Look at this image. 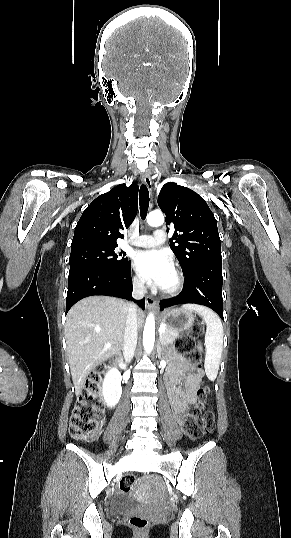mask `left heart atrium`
<instances>
[{"label":"left heart atrium","mask_w":291,"mask_h":538,"mask_svg":"<svg viewBox=\"0 0 291 538\" xmlns=\"http://www.w3.org/2000/svg\"><path fill=\"white\" fill-rule=\"evenodd\" d=\"M133 265L143 281L158 287L164 286L174 269L169 256L160 250L138 252L134 256Z\"/></svg>","instance_id":"left-heart-atrium-1"}]
</instances>
